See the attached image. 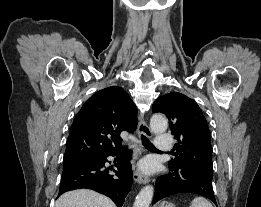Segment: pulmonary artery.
<instances>
[{"instance_id": "1", "label": "pulmonary artery", "mask_w": 261, "mask_h": 207, "mask_svg": "<svg viewBox=\"0 0 261 207\" xmlns=\"http://www.w3.org/2000/svg\"><path fill=\"white\" fill-rule=\"evenodd\" d=\"M173 146L172 136L167 133L159 134L156 138V147L161 151H168Z\"/></svg>"}]
</instances>
